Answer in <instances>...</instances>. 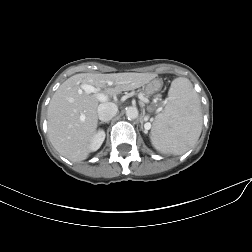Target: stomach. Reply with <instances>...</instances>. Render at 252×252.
Returning <instances> with one entry per match:
<instances>
[{"label": "stomach", "instance_id": "obj_1", "mask_svg": "<svg viewBox=\"0 0 252 252\" xmlns=\"http://www.w3.org/2000/svg\"><path fill=\"white\" fill-rule=\"evenodd\" d=\"M161 88H162V81L154 79L149 83H147V85L144 87V93L146 95H152L158 92Z\"/></svg>", "mask_w": 252, "mask_h": 252}]
</instances>
